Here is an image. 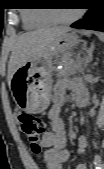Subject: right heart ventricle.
Wrapping results in <instances>:
<instances>
[{"mask_svg": "<svg viewBox=\"0 0 104 169\" xmlns=\"http://www.w3.org/2000/svg\"><path fill=\"white\" fill-rule=\"evenodd\" d=\"M22 19L25 27L29 29L48 26L53 23V21L40 10L23 12Z\"/></svg>", "mask_w": 104, "mask_h": 169, "instance_id": "right-heart-ventricle-1", "label": "right heart ventricle"}]
</instances>
